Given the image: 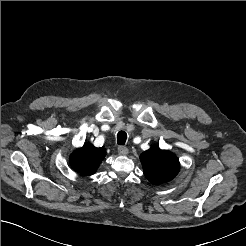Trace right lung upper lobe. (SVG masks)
<instances>
[{"label":"right lung upper lobe","instance_id":"right-lung-upper-lobe-1","mask_svg":"<svg viewBox=\"0 0 246 246\" xmlns=\"http://www.w3.org/2000/svg\"><path fill=\"white\" fill-rule=\"evenodd\" d=\"M105 155L103 148H96L91 143H85L70 156V164L77 172L91 175L96 172Z\"/></svg>","mask_w":246,"mask_h":246}]
</instances>
